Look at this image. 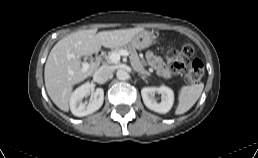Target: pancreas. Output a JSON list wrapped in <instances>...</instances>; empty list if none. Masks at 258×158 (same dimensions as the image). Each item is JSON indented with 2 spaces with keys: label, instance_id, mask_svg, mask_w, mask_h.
Returning <instances> with one entry per match:
<instances>
[{
  "label": "pancreas",
  "instance_id": "1",
  "mask_svg": "<svg viewBox=\"0 0 258 158\" xmlns=\"http://www.w3.org/2000/svg\"><path fill=\"white\" fill-rule=\"evenodd\" d=\"M121 50H125L129 53V59H130V62H131V66L133 67V69L135 71H137L139 74H142V75H150V73L147 70H145L142 62L140 61L138 53L132 47L123 46V47L115 48L106 57L107 61L111 62L110 59H109V56L112 53H119Z\"/></svg>",
  "mask_w": 258,
  "mask_h": 158
}]
</instances>
